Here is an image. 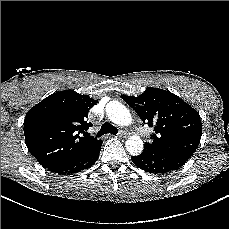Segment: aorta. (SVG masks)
<instances>
[{
	"label": "aorta",
	"instance_id": "aorta-1",
	"mask_svg": "<svg viewBox=\"0 0 229 229\" xmlns=\"http://www.w3.org/2000/svg\"><path fill=\"white\" fill-rule=\"evenodd\" d=\"M109 119L119 126H129L133 119L129 110L118 101H111L106 106ZM126 149L132 155H138L143 150V141L139 135L135 134L126 141Z\"/></svg>",
	"mask_w": 229,
	"mask_h": 229
}]
</instances>
